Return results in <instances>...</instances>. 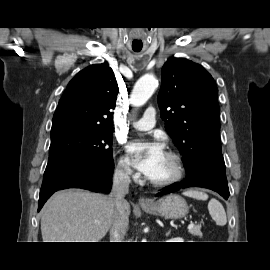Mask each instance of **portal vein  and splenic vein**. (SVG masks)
Wrapping results in <instances>:
<instances>
[{
  "label": "portal vein and splenic vein",
  "mask_w": 270,
  "mask_h": 270,
  "mask_svg": "<svg viewBox=\"0 0 270 270\" xmlns=\"http://www.w3.org/2000/svg\"><path fill=\"white\" fill-rule=\"evenodd\" d=\"M194 227V223L193 222H190V224L188 225V229H191Z\"/></svg>",
  "instance_id": "1"
}]
</instances>
